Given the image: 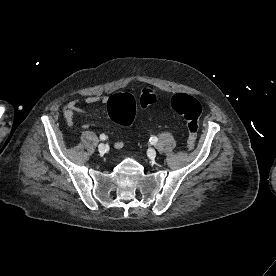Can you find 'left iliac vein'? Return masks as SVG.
<instances>
[{
    "mask_svg": "<svg viewBox=\"0 0 276 276\" xmlns=\"http://www.w3.org/2000/svg\"><path fill=\"white\" fill-rule=\"evenodd\" d=\"M156 151L153 148L147 150V155L149 158L154 159L156 157Z\"/></svg>",
    "mask_w": 276,
    "mask_h": 276,
    "instance_id": "left-iliac-vein-1",
    "label": "left iliac vein"
}]
</instances>
